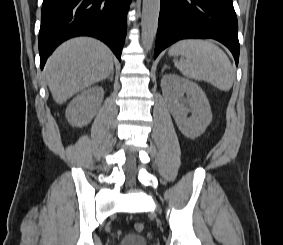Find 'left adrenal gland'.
<instances>
[{"mask_svg":"<svg viewBox=\"0 0 283 245\" xmlns=\"http://www.w3.org/2000/svg\"><path fill=\"white\" fill-rule=\"evenodd\" d=\"M168 67L166 65H164L163 69H162V72L167 69Z\"/></svg>","mask_w":283,"mask_h":245,"instance_id":"left-adrenal-gland-1","label":"left adrenal gland"}]
</instances>
